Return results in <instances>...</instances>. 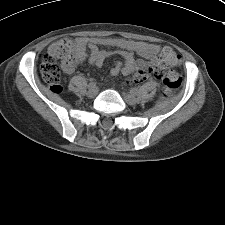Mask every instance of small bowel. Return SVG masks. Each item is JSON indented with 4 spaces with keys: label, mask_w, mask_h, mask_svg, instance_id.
<instances>
[{
    "label": "small bowel",
    "mask_w": 225,
    "mask_h": 225,
    "mask_svg": "<svg viewBox=\"0 0 225 225\" xmlns=\"http://www.w3.org/2000/svg\"><path fill=\"white\" fill-rule=\"evenodd\" d=\"M75 45L76 62L63 66L64 71L68 74L73 73L76 69V66L79 63L84 62L87 58L91 64L98 67L102 66L105 60L112 56V52L100 49L99 45L119 48L116 53L121 57L122 60L116 61L114 66L110 69V77H115L119 74H134L139 64L143 63L144 60L156 62L160 52L159 46L155 44L144 42L127 44L123 41L111 38L78 37L75 39ZM134 53H137L143 59L136 60Z\"/></svg>",
    "instance_id": "obj_1"
}]
</instances>
